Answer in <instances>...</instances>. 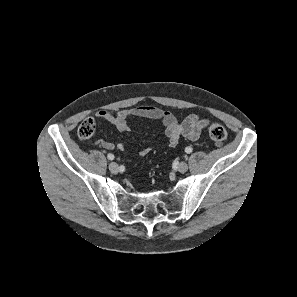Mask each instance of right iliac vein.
I'll return each mask as SVG.
<instances>
[{
  "label": "right iliac vein",
  "mask_w": 297,
  "mask_h": 297,
  "mask_svg": "<svg viewBox=\"0 0 297 297\" xmlns=\"http://www.w3.org/2000/svg\"><path fill=\"white\" fill-rule=\"evenodd\" d=\"M109 170L112 172V173H118L119 171V165L115 162H111L109 164Z\"/></svg>",
  "instance_id": "1"
}]
</instances>
